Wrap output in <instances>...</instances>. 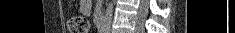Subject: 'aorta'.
<instances>
[{"label": "aorta", "mask_w": 235, "mask_h": 33, "mask_svg": "<svg viewBox=\"0 0 235 33\" xmlns=\"http://www.w3.org/2000/svg\"><path fill=\"white\" fill-rule=\"evenodd\" d=\"M112 16H113V0L112 2H109V4L107 5L105 15H104V27L106 31H108L110 28Z\"/></svg>", "instance_id": "1"}]
</instances>
